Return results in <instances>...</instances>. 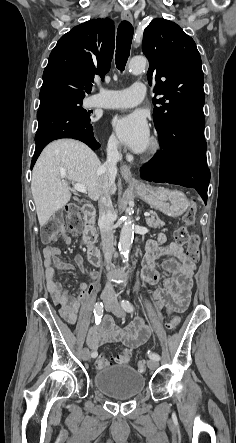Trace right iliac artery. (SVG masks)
<instances>
[{"instance_id":"1","label":"right iliac artery","mask_w":236,"mask_h":443,"mask_svg":"<svg viewBox=\"0 0 236 443\" xmlns=\"http://www.w3.org/2000/svg\"><path fill=\"white\" fill-rule=\"evenodd\" d=\"M95 322L98 324L101 321L103 316V304L102 302H97L94 308ZM91 356L95 358L97 356V352H92Z\"/></svg>"}]
</instances>
